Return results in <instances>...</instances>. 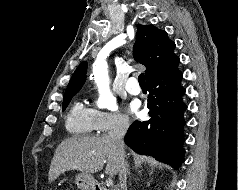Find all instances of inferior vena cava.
<instances>
[{
  "label": "inferior vena cava",
  "mask_w": 238,
  "mask_h": 190,
  "mask_svg": "<svg viewBox=\"0 0 238 190\" xmlns=\"http://www.w3.org/2000/svg\"><path fill=\"white\" fill-rule=\"evenodd\" d=\"M129 127V121L125 117L119 118L115 128L109 132L108 137L115 144L116 148L119 151L120 160H119V181L120 185L116 190H126V174H127V164L125 162V153H124V141L123 138L126 134V131Z\"/></svg>",
  "instance_id": "602c4592"
}]
</instances>
